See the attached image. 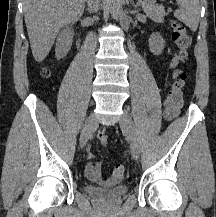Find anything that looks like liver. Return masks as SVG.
<instances>
[{
    "label": "liver",
    "instance_id": "liver-1",
    "mask_svg": "<svg viewBox=\"0 0 216 217\" xmlns=\"http://www.w3.org/2000/svg\"><path fill=\"white\" fill-rule=\"evenodd\" d=\"M86 0H24L25 23L31 50L37 62L49 54L61 27L75 23Z\"/></svg>",
    "mask_w": 216,
    "mask_h": 217
}]
</instances>
